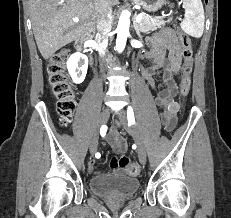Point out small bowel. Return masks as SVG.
I'll return each mask as SVG.
<instances>
[{"instance_id":"c3829d8e","label":"small bowel","mask_w":231,"mask_h":218,"mask_svg":"<svg viewBox=\"0 0 231 218\" xmlns=\"http://www.w3.org/2000/svg\"><path fill=\"white\" fill-rule=\"evenodd\" d=\"M149 42L151 49L145 56L151 62L143 69V76L153 90L156 89L154 77L157 75L162 77L155 96V103L162 108L161 121L165 130L169 132L176 125V114L180 107L177 101L178 86L175 78L185 76L187 67H191V59H183L176 35L171 29H164L152 36ZM108 142L118 153H123L127 149L126 142L116 130L110 131ZM123 158L125 157H113L110 161L112 172L116 175H123L126 172L120 165V160ZM89 169L96 173L95 160L89 162Z\"/></svg>"}]
</instances>
